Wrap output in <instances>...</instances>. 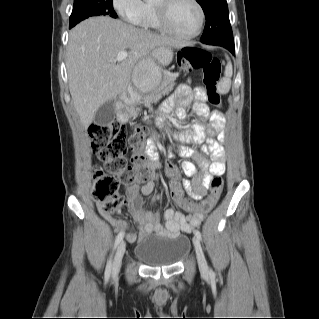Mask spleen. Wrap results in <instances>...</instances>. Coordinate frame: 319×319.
<instances>
[{
	"label": "spleen",
	"mask_w": 319,
	"mask_h": 319,
	"mask_svg": "<svg viewBox=\"0 0 319 319\" xmlns=\"http://www.w3.org/2000/svg\"><path fill=\"white\" fill-rule=\"evenodd\" d=\"M232 64L228 61L227 66L225 68L224 77L220 80L217 85V91L220 94H227L231 88V77H232Z\"/></svg>",
	"instance_id": "3e777b00"
}]
</instances>
